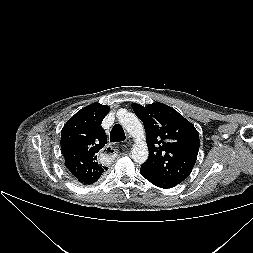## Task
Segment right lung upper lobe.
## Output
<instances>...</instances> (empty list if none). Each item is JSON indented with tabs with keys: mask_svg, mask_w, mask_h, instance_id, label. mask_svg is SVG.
Wrapping results in <instances>:
<instances>
[{
	"mask_svg": "<svg viewBox=\"0 0 253 253\" xmlns=\"http://www.w3.org/2000/svg\"><path fill=\"white\" fill-rule=\"evenodd\" d=\"M109 106L93 103L78 111L61 132V151L72 177L83 185L97 182L106 167L97 162V154L107 143L101 123Z\"/></svg>",
	"mask_w": 253,
	"mask_h": 253,
	"instance_id": "1",
	"label": "right lung upper lobe"
}]
</instances>
